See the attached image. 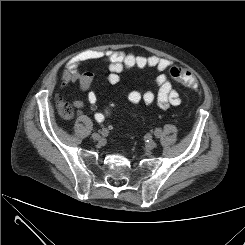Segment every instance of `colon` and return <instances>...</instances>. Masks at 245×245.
Masks as SVG:
<instances>
[{"mask_svg":"<svg viewBox=\"0 0 245 245\" xmlns=\"http://www.w3.org/2000/svg\"><path fill=\"white\" fill-rule=\"evenodd\" d=\"M169 74L175 81L181 83L184 86H187L190 88L197 87L196 78L194 74L188 69H184L181 67H172L169 70ZM59 110H60L61 115L66 119L71 118L74 114L73 106L63 100H61L59 103Z\"/></svg>","mask_w":245,"mask_h":245,"instance_id":"colon-1","label":"colon"}]
</instances>
